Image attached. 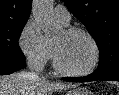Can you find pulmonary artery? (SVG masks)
Segmentation results:
<instances>
[{
  "label": "pulmonary artery",
  "mask_w": 119,
  "mask_h": 95,
  "mask_svg": "<svg viewBox=\"0 0 119 95\" xmlns=\"http://www.w3.org/2000/svg\"><path fill=\"white\" fill-rule=\"evenodd\" d=\"M54 16L64 25H68L71 19L68 9L63 5H57L54 8Z\"/></svg>",
  "instance_id": "pulmonary-artery-1"
}]
</instances>
